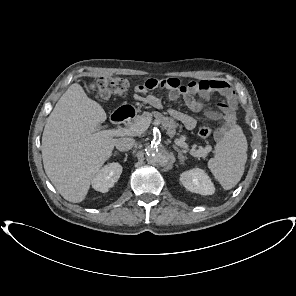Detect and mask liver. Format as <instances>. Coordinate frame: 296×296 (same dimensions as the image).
Instances as JSON below:
<instances>
[{"mask_svg":"<svg viewBox=\"0 0 296 296\" xmlns=\"http://www.w3.org/2000/svg\"><path fill=\"white\" fill-rule=\"evenodd\" d=\"M106 119L102 106L78 83L69 86L47 118L42 136L44 169L69 202L85 199L93 178L111 156L117 139L96 134Z\"/></svg>","mask_w":296,"mask_h":296,"instance_id":"6515ba94","label":"liver"}]
</instances>
